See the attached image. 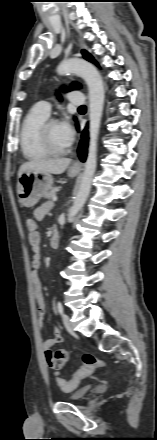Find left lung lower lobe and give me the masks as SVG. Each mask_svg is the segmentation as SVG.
I'll return each instance as SVG.
<instances>
[{
    "mask_svg": "<svg viewBox=\"0 0 157 440\" xmlns=\"http://www.w3.org/2000/svg\"><path fill=\"white\" fill-rule=\"evenodd\" d=\"M88 139H89L88 126H86L84 130L81 132V140L79 142V147H78V156L82 162L85 161L87 156Z\"/></svg>",
    "mask_w": 157,
    "mask_h": 440,
    "instance_id": "1",
    "label": "left lung lower lobe"
}]
</instances>
